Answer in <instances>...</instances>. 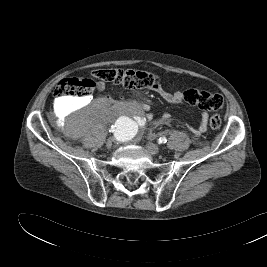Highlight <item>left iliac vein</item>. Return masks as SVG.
I'll list each match as a JSON object with an SVG mask.
<instances>
[{"label": "left iliac vein", "instance_id": "4c4485c4", "mask_svg": "<svg viewBox=\"0 0 267 267\" xmlns=\"http://www.w3.org/2000/svg\"><path fill=\"white\" fill-rule=\"evenodd\" d=\"M146 148L148 149V151L151 153V154H158L160 152V148L158 145L154 144V143H147L146 144Z\"/></svg>", "mask_w": 267, "mask_h": 267}]
</instances>
